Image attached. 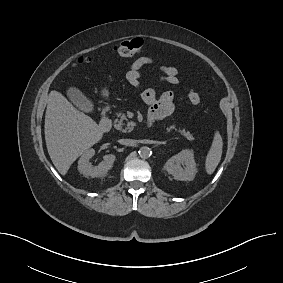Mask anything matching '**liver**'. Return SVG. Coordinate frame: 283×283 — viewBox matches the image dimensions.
Segmentation results:
<instances>
[{
	"instance_id": "1",
	"label": "liver",
	"mask_w": 283,
	"mask_h": 283,
	"mask_svg": "<svg viewBox=\"0 0 283 283\" xmlns=\"http://www.w3.org/2000/svg\"><path fill=\"white\" fill-rule=\"evenodd\" d=\"M44 127L48 154L61 175H65L73 162L103 137L91 117L77 110L55 90L49 94Z\"/></svg>"
}]
</instances>
